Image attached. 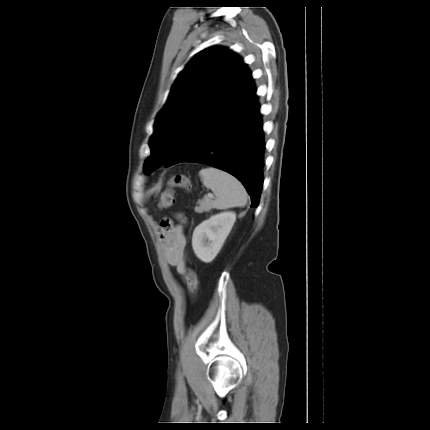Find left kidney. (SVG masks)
<instances>
[{"label":"left kidney","mask_w":430,"mask_h":430,"mask_svg":"<svg viewBox=\"0 0 430 430\" xmlns=\"http://www.w3.org/2000/svg\"><path fill=\"white\" fill-rule=\"evenodd\" d=\"M236 221V213L224 211L212 215L193 232L192 247L198 259L210 263L221 250Z\"/></svg>","instance_id":"5707ae66"}]
</instances>
